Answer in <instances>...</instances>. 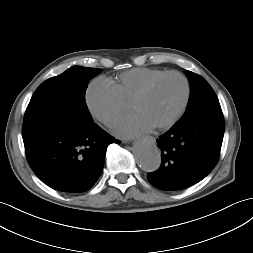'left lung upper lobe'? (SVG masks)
<instances>
[{"instance_id": "obj_1", "label": "left lung upper lobe", "mask_w": 253, "mask_h": 253, "mask_svg": "<svg viewBox=\"0 0 253 253\" xmlns=\"http://www.w3.org/2000/svg\"><path fill=\"white\" fill-rule=\"evenodd\" d=\"M186 75L190 82V99L184 115L177 123L224 119L218 98L208 82L188 70Z\"/></svg>"}]
</instances>
